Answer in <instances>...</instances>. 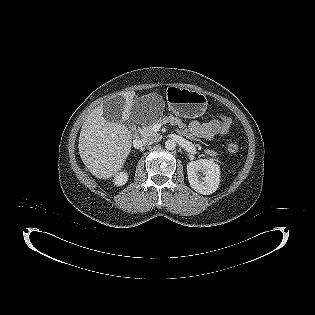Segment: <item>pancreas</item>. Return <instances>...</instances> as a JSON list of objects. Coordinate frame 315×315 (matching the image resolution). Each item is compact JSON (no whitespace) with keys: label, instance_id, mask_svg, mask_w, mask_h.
Returning a JSON list of instances; mask_svg holds the SVG:
<instances>
[{"label":"pancreas","instance_id":"1","mask_svg":"<svg viewBox=\"0 0 315 315\" xmlns=\"http://www.w3.org/2000/svg\"><path fill=\"white\" fill-rule=\"evenodd\" d=\"M171 123L173 125H178L179 128H181V134L186 136L187 139L189 140H194V137L188 133V130L185 128L184 123L182 122V120L178 117H174V116H163L160 117L159 119H157L154 123ZM153 123V124H154ZM153 124L149 125V126H145L140 130V133L143 137L145 136H159L158 133H155L153 130ZM196 147L199 148V145H195ZM205 153L211 157H216L217 153L213 150H205Z\"/></svg>","mask_w":315,"mask_h":315}]
</instances>
